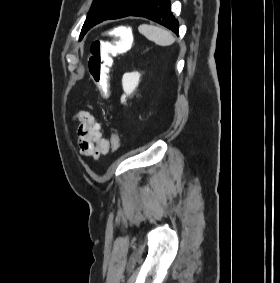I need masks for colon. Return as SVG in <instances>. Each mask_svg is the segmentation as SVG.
<instances>
[{
  "instance_id": "5ec220e1",
  "label": "colon",
  "mask_w": 280,
  "mask_h": 283,
  "mask_svg": "<svg viewBox=\"0 0 280 283\" xmlns=\"http://www.w3.org/2000/svg\"><path fill=\"white\" fill-rule=\"evenodd\" d=\"M133 25H118L107 31V41L96 39L90 46L88 58V69L90 76L100 93L107 97L109 95V73L113 63L112 55H125L130 51L135 38ZM116 37V38H115ZM116 41V42H115ZM120 140L114 141V148L118 149Z\"/></svg>"
}]
</instances>
